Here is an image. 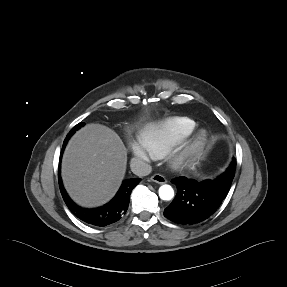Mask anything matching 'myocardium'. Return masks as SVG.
I'll return each instance as SVG.
<instances>
[{
	"label": "myocardium",
	"instance_id": "f54148a6",
	"mask_svg": "<svg viewBox=\"0 0 287 287\" xmlns=\"http://www.w3.org/2000/svg\"><path fill=\"white\" fill-rule=\"evenodd\" d=\"M208 142V133L204 130L197 131L190 139L169 154L170 166L179 169L194 164L206 149Z\"/></svg>",
	"mask_w": 287,
	"mask_h": 287
}]
</instances>
